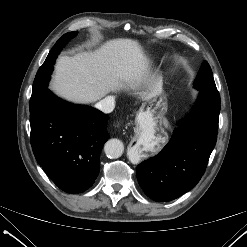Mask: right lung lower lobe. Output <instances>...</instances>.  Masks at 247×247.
I'll list each match as a JSON object with an SVG mask.
<instances>
[{"instance_id":"right-lung-lower-lobe-1","label":"right lung lower lobe","mask_w":247,"mask_h":247,"mask_svg":"<svg viewBox=\"0 0 247 247\" xmlns=\"http://www.w3.org/2000/svg\"><path fill=\"white\" fill-rule=\"evenodd\" d=\"M107 119L101 111L65 102L49 89L30 111L34 156L61 190L81 193L93 185L109 138Z\"/></svg>"}]
</instances>
